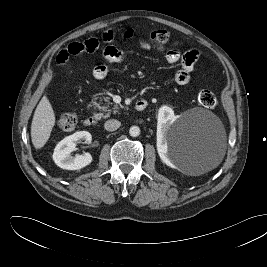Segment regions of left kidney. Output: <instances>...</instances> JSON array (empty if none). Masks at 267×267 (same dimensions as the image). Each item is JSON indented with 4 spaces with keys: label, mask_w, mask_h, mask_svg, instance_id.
<instances>
[{
    "label": "left kidney",
    "mask_w": 267,
    "mask_h": 267,
    "mask_svg": "<svg viewBox=\"0 0 267 267\" xmlns=\"http://www.w3.org/2000/svg\"><path fill=\"white\" fill-rule=\"evenodd\" d=\"M178 117L174 114L172 108L164 105L158 110L157 116V151L163 163L171 168H176L172 156L168 152V144L164 134L168 128L176 121Z\"/></svg>",
    "instance_id": "5707ae66"
}]
</instances>
